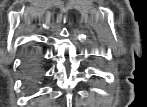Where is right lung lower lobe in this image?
<instances>
[{
  "label": "right lung lower lobe",
  "instance_id": "obj_1",
  "mask_svg": "<svg viewBox=\"0 0 147 107\" xmlns=\"http://www.w3.org/2000/svg\"><path fill=\"white\" fill-rule=\"evenodd\" d=\"M39 78V69H38V63L36 58L30 59V65L27 72V79L29 83L33 84L35 83Z\"/></svg>",
  "mask_w": 147,
  "mask_h": 107
}]
</instances>
